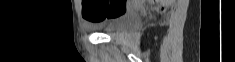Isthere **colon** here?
<instances>
[{"label": "colon", "instance_id": "colon-1", "mask_svg": "<svg viewBox=\"0 0 235 62\" xmlns=\"http://www.w3.org/2000/svg\"><path fill=\"white\" fill-rule=\"evenodd\" d=\"M128 3V0H85L83 1V16L91 23H98L125 12Z\"/></svg>", "mask_w": 235, "mask_h": 62}]
</instances>
